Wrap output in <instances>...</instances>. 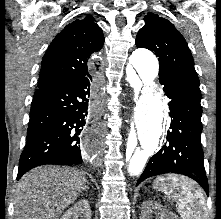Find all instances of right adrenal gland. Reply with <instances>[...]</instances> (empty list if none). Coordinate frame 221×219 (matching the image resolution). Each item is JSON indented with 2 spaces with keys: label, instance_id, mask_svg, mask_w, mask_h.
I'll list each match as a JSON object with an SVG mask.
<instances>
[{
  "label": "right adrenal gland",
  "instance_id": "right-adrenal-gland-1",
  "mask_svg": "<svg viewBox=\"0 0 221 219\" xmlns=\"http://www.w3.org/2000/svg\"><path fill=\"white\" fill-rule=\"evenodd\" d=\"M87 188H88V186H86L84 190H87Z\"/></svg>",
  "mask_w": 221,
  "mask_h": 219
}]
</instances>
